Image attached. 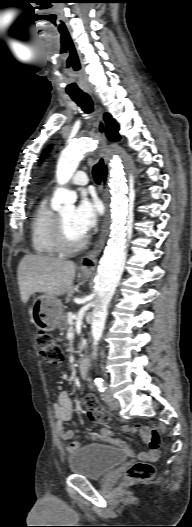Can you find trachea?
<instances>
[{"label":"trachea","instance_id":"3493384b","mask_svg":"<svg viewBox=\"0 0 192 527\" xmlns=\"http://www.w3.org/2000/svg\"><path fill=\"white\" fill-rule=\"evenodd\" d=\"M70 97L72 98L73 101L76 102V104L79 107H81V109L85 113L89 114V113H91L93 111V103H92L89 95H87L86 93L70 95ZM103 165H104V162L101 159L93 167V177H94V180L96 181V183H98V184L101 182V179H102Z\"/></svg>","mask_w":192,"mask_h":527}]
</instances>
